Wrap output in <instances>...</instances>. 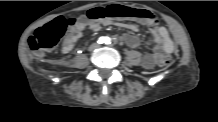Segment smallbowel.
Listing matches in <instances>:
<instances>
[{
    "instance_id": "obj_1",
    "label": "small bowel",
    "mask_w": 218,
    "mask_h": 122,
    "mask_svg": "<svg viewBox=\"0 0 218 122\" xmlns=\"http://www.w3.org/2000/svg\"><path fill=\"white\" fill-rule=\"evenodd\" d=\"M129 8V7H127ZM120 18H132V17H120ZM137 19V18H136ZM141 20V19H140ZM114 24L117 27L128 29L132 32H138L139 26L132 21L128 20H113L105 19L102 22H96L91 20L88 15L80 16L75 24L71 27L69 33L66 35L61 44V51L63 53H69L73 50L78 40L82 37L84 30L90 29L91 31L100 30L102 25ZM122 40L130 48H137L140 45V39L132 34L126 33L122 35ZM154 44V50L152 53L144 55L142 64L145 68H153L157 65V60L160 57H166L174 49V44L170 38L168 31L164 27H156L152 32V38L147 41V44Z\"/></svg>"
}]
</instances>
